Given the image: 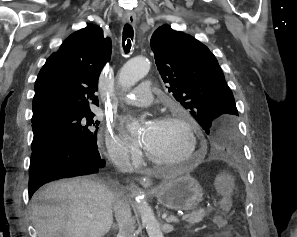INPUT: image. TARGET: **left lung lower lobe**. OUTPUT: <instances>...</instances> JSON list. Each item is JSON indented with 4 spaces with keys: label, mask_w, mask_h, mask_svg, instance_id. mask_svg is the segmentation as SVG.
Masks as SVG:
<instances>
[{
    "label": "left lung lower lobe",
    "mask_w": 297,
    "mask_h": 237,
    "mask_svg": "<svg viewBox=\"0 0 297 237\" xmlns=\"http://www.w3.org/2000/svg\"><path fill=\"white\" fill-rule=\"evenodd\" d=\"M212 154V156H217L218 157V155H216V154H214V153H211Z\"/></svg>",
    "instance_id": "obj_1"
}]
</instances>
